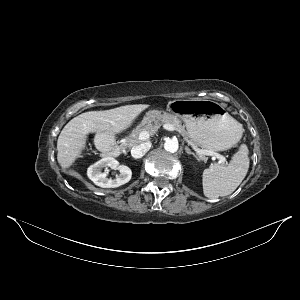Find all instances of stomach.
<instances>
[{
  "instance_id": "obj_1",
  "label": "stomach",
  "mask_w": 300,
  "mask_h": 300,
  "mask_svg": "<svg viewBox=\"0 0 300 300\" xmlns=\"http://www.w3.org/2000/svg\"><path fill=\"white\" fill-rule=\"evenodd\" d=\"M170 110L184 121L189 136L206 149L224 151L233 147L241 138L242 132L222 104L212 100H177L170 104ZM161 113L154 110L148 118Z\"/></svg>"
}]
</instances>
